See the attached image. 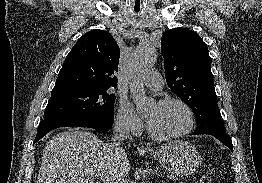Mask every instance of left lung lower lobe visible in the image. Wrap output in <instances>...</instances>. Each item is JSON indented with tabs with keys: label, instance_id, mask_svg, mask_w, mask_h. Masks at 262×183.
Segmentation results:
<instances>
[{
	"label": "left lung lower lobe",
	"instance_id": "0a47b994",
	"mask_svg": "<svg viewBox=\"0 0 262 183\" xmlns=\"http://www.w3.org/2000/svg\"><path fill=\"white\" fill-rule=\"evenodd\" d=\"M203 134H209V135L216 137L218 140H220L222 143L228 146L231 150H233L232 141L228 134L220 133V132H209V133H203ZM193 135H198V134H193Z\"/></svg>",
	"mask_w": 262,
	"mask_h": 183
}]
</instances>
